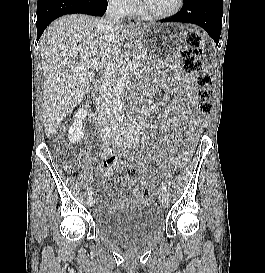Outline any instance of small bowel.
<instances>
[{
  "label": "small bowel",
  "mask_w": 265,
  "mask_h": 273,
  "mask_svg": "<svg viewBox=\"0 0 265 273\" xmlns=\"http://www.w3.org/2000/svg\"><path fill=\"white\" fill-rule=\"evenodd\" d=\"M178 123H179V119L173 118L168 123V126L171 128H174L178 125ZM77 155H81V152L79 151L77 153ZM117 162L118 161L115 157H107L103 161L102 167H98L96 171H97V173H102L105 170V174L108 176L111 174L112 170L116 167ZM127 184L132 187L133 199H137V200L141 199V194H140V189H139L140 179L138 177H131L127 180ZM128 200H130V199H128ZM123 201H127V199L123 200Z\"/></svg>",
  "instance_id": "c3829d8e"
}]
</instances>
